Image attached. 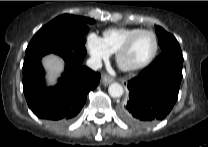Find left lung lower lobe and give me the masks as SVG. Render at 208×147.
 <instances>
[{
  "instance_id": "1",
  "label": "left lung lower lobe",
  "mask_w": 208,
  "mask_h": 147,
  "mask_svg": "<svg viewBox=\"0 0 208 147\" xmlns=\"http://www.w3.org/2000/svg\"><path fill=\"white\" fill-rule=\"evenodd\" d=\"M182 64L183 58L159 55L139 76L129 81V99L120 107V117L135 127L150 126L164 119L178 98Z\"/></svg>"
}]
</instances>
